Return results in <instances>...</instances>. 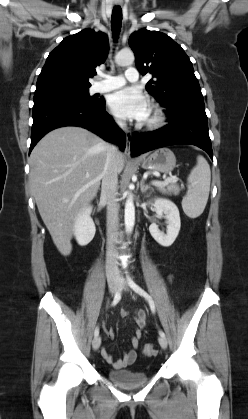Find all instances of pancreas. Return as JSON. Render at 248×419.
Wrapping results in <instances>:
<instances>
[{
  "label": "pancreas",
  "instance_id": "pancreas-1",
  "mask_svg": "<svg viewBox=\"0 0 248 419\" xmlns=\"http://www.w3.org/2000/svg\"><path fill=\"white\" fill-rule=\"evenodd\" d=\"M167 188H165V186H158V189L160 192L164 193V194H174V195H178L180 192V188L179 186L171 183V184H166Z\"/></svg>",
  "mask_w": 248,
  "mask_h": 419
}]
</instances>
